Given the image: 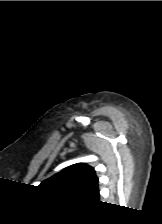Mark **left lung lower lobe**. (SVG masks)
Returning a JSON list of instances; mask_svg holds the SVG:
<instances>
[{"mask_svg": "<svg viewBox=\"0 0 162 224\" xmlns=\"http://www.w3.org/2000/svg\"><path fill=\"white\" fill-rule=\"evenodd\" d=\"M99 191L92 197V200L98 201Z\"/></svg>", "mask_w": 162, "mask_h": 224, "instance_id": "obj_1", "label": "left lung lower lobe"}]
</instances>
